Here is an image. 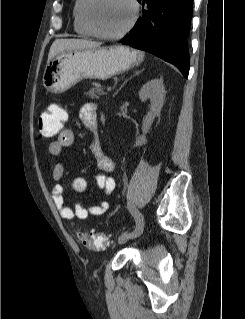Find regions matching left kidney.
<instances>
[{
    "label": "left kidney",
    "mask_w": 245,
    "mask_h": 319,
    "mask_svg": "<svg viewBox=\"0 0 245 319\" xmlns=\"http://www.w3.org/2000/svg\"><path fill=\"white\" fill-rule=\"evenodd\" d=\"M165 87L162 79H152L145 83L139 91V97L142 102L150 99V111L143 118L142 130L143 135L139 137L136 144L141 145L145 142V134L149 131L154 118L160 115L161 109L164 104Z\"/></svg>",
    "instance_id": "1"
}]
</instances>
